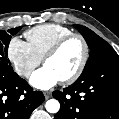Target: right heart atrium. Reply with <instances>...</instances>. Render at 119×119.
Masks as SVG:
<instances>
[{
	"label": "right heart atrium",
	"instance_id": "1",
	"mask_svg": "<svg viewBox=\"0 0 119 119\" xmlns=\"http://www.w3.org/2000/svg\"><path fill=\"white\" fill-rule=\"evenodd\" d=\"M7 56L15 72L23 78H28L41 63V59L35 55L30 45L19 37L10 40Z\"/></svg>",
	"mask_w": 119,
	"mask_h": 119
}]
</instances>
